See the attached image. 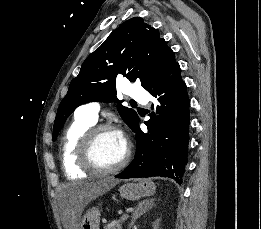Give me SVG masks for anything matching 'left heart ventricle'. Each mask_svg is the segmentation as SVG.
<instances>
[{
	"label": "left heart ventricle",
	"mask_w": 261,
	"mask_h": 229,
	"mask_svg": "<svg viewBox=\"0 0 261 229\" xmlns=\"http://www.w3.org/2000/svg\"><path fill=\"white\" fill-rule=\"evenodd\" d=\"M126 144L121 134L116 132L102 133L94 147V157L103 167H113L124 157Z\"/></svg>",
	"instance_id": "b2bd125f"
}]
</instances>
